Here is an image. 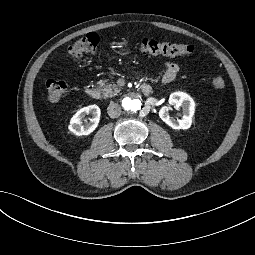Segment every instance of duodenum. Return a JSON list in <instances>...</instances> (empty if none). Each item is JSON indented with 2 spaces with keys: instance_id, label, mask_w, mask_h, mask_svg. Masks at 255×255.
Instances as JSON below:
<instances>
[{
  "instance_id": "obj_1",
  "label": "duodenum",
  "mask_w": 255,
  "mask_h": 255,
  "mask_svg": "<svg viewBox=\"0 0 255 255\" xmlns=\"http://www.w3.org/2000/svg\"><path fill=\"white\" fill-rule=\"evenodd\" d=\"M141 91L144 95H149L152 91L151 86L143 83L141 85ZM85 93L88 97H90L91 99L97 100L100 97V92L98 91V89L94 88V87H87L85 90Z\"/></svg>"
}]
</instances>
